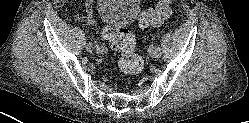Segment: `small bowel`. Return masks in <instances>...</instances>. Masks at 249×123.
Masks as SVG:
<instances>
[{"instance_id": "c3829d8e", "label": "small bowel", "mask_w": 249, "mask_h": 123, "mask_svg": "<svg viewBox=\"0 0 249 123\" xmlns=\"http://www.w3.org/2000/svg\"><path fill=\"white\" fill-rule=\"evenodd\" d=\"M85 1V14L74 13L73 18L77 21L93 24L95 23L94 18V0H84ZM103 36H106L103 33Z\"/></svg>"}]
</instances>
